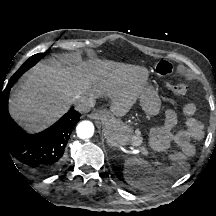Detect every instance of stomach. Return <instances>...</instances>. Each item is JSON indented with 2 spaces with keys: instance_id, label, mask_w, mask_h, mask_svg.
Returning a JSON list of instances; mask_svg holds the SVG:
<instances>
[{
  "instance_id": "0dacf381",
  "label": "stomach",
  "mask_w": 216,
  "mask_h": 216,
  "mask_svg": "<svg viewBox=\"0 0 216 216\" xmlns=\"http://www.w3.org/2000/svg\"><path fill=\"white\" fill-rule=\"evenodd\" d=\"M139 102L147 117H155L160 113L161 100L153 88H143ZM104 133L110 146H127L133 141V130L122 124L108 122L104 126Z\"/></svg>"
}]
</instances>
